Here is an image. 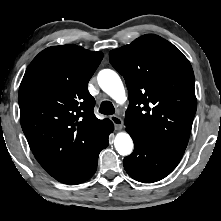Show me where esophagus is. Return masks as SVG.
Instances as JSON below:
<instances>
[{
    "mask_svg": "<svg viewBox=\"0 0 221 221\" xmlns=\"http://www.w3.org/2000/svg\"><path fill=\"white\" fill-rule=\"evenodd\" d=\"M109 119L113 122V124L115 125L117 130H121L122 129L123 121H122V119L119 116L111 115L109 117Z\"/></svg>",
    "mask_w": 221,
    "mask_h": 221,
    "instance_id": "obj_1",
    "label": "esophagus"
}]
</instances>
